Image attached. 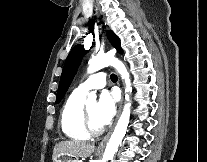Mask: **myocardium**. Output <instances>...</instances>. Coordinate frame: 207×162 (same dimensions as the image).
<instances>
[{
    "mask_svg": "<svg viewBox=\"0 0 207 162\" xmlns=\"http://www.w3.org/2000/svg\"><path fill=\"white\" fill-rule=\"evenodd\" d=\"M83 127L84 130L91 136H98L103 132V127H96L89 115L88 107L84 105L83 108Z\"/></svg>",
    "mask_w": 207,
    "mask_h": 162,
    "instance_id": "1",
    "label": "myocardium"
}]
</instances>
